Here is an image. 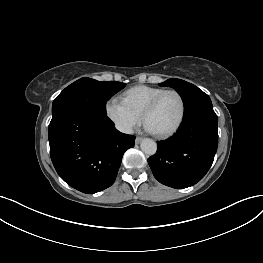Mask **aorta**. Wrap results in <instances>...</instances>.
<instances>
[{
  "mask_svg": "<svg viewBox=\"0 0 263 263\" xmlns=\"http://www.w3.org/2000/svg\"><path fill=\"white\" fill-rule=\"evenodd\" d=\"M140 147L146 155H154L157 150L156 142L150 138L143 139Z\"/></svg>",
  "mask_w": 263,
  "mask_h": 263,
  "instance_id": "obj_1",
  "label": "aorta"
}]
</instances>
